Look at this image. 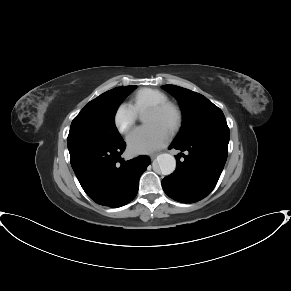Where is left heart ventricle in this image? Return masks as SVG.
<instances>
[{"label": "left heart ventricle", "mask_w": 291, "mask_h": 291, "mask_svg": "<svg viewBox=\"0 0 291 291\" xmlns=\"http://www.w3.org/2000/svg\"><path fill=\"white\" fill-rule=\"evenodd\" d=\"M143 122L145 124H155L168 130L170 115L156 113L153 111H145V113L143 114Z\"/></svg>", "instance_id": "b2bd125f"}]
</instances>
